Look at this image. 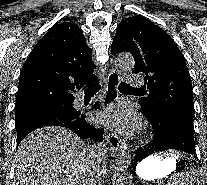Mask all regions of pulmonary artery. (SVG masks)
Returning <instances> with one entry per match:
<instances>
[{
    "label": "pulmonary artery",
    "instance_id": "obj_1",
    "mask_svg": "<svg viewBox=\"0 0 207 185\" xmlns=\"http://www.w3.org/2000/svg\"><path fill=\"white\" fill-rule=\"evenodd\" d=\"M128 82H130V86H144L142 77H128Z\"/></svg>",
    "mask_w": 207,
    "mask_h": 185
}]
</instances>
